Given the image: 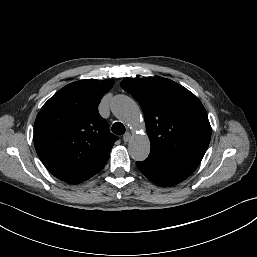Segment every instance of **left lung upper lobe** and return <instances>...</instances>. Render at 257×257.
Instances as JSON below:
<instances>
[{"label":"left lung upper lobe","instance_id":"5c2ea615","mask_svg":"<svg viewBox=\"0 0 257 257\" xmlns=\"http://www.w3.org/2000/svg\"><path fill=\"white\" fill-rule=\"evenodd\" d=\"M122 88L140 104L151 151L163 160H202L211 126L200 100L176 82L162 77L128 78Z\"/></svg>","mask_w":257,"mask_h":257}]
</instances>
